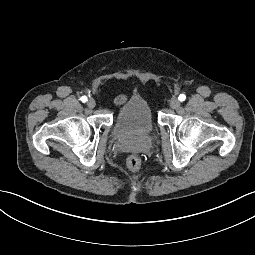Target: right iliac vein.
<instances>
[{"label":"right iliac vein","instance_id":"obj_1","mask_svg":"<svg viewBox=\"0 0 255 255\" xmlns=\"http://www.w3.org/2000/svg\"><path fill=\"white\" fill-rule=\"evenodd\" d=\"M87 105L89 108H94L96 106V102L94 99L91 98L88 100Z\"/></svg>","mask_w":255,"mask_h":255}]
</instances>
